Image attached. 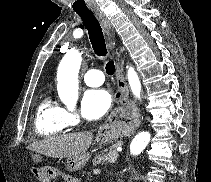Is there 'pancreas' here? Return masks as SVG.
<instances>
[{
	"instance_id": "1",
	"label": "pancreas",
	"mask_w": 211,
	"mask_h": 182,
	"mask_svg": "<svg viewBox=\"0 0 211 182\" xmlns=\"http://www.w3.org/2000/svg\"><path fill=\"white\" fill-rule=\"evenodd\" d=\"M117 147V145H112L108 149L95 154L93 163L101 164L105 162H115L118 157Z\"/></svg>"
}]
</instances>
